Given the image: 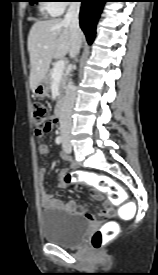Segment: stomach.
<instances>
[{
	"mask_svg": "<svg viewBox=\"0 0 158 275\" xmlns=\"http://www.w3.org/2000/svg\"><path fill=\"white\" fill-rule=\"evenodd\" d=\"M49 91L48 86V79L47 76L37 85V87L34 89V95L36 97H45Z\"/></svg>",
	"mask_w": 158,
	"mask_h": 275,
	"instance_id": "stomach-1",
	"label": "stomach"
}]
</instances>
